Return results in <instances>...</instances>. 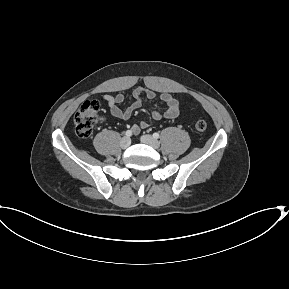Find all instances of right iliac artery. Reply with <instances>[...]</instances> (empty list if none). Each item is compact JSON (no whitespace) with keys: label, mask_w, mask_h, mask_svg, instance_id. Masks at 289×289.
Listing matches in <instances>:
<instances>
[{"label":"right iliac artery","mask_w":289,"mask_h":289,"mask_svg":"<svg viewBox=\"0 0 289 289\" xmlns=\"http://www.w3.org/2000/svg\"><path fill=\"white\" fill-rule=\"evenodd\" d=\"M125 135H126L127 137L132 136V131H131V130H127V131L125 132Z\"/></svg>","instance_id":"1"}]
</instances>
